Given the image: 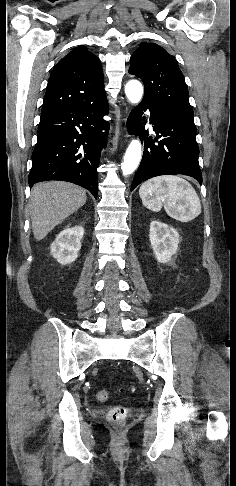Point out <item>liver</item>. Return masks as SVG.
<instances>
[{
	"label": "liver",
	"mask_w": 236,
	"mask_h": 486,
	"mask_svg": "<svg viewBox=\"0 0 236 486\" xmlns=\"http://www.w3.org/2000/svg\"><path fill=\"white\" fill-rule=\"evenodd\" d=\"M87 200L84 189L68 182L38 183L31 190L29 212L32 231L37 241L65 218L82 207Z\"/></svg>",
	"instance_id": "liver-1"
}]
</instances>
